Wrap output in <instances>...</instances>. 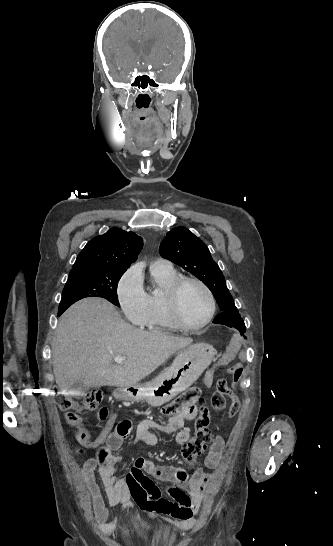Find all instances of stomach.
Returning <instances> with one entry per match:
<instances>
[{
  "mask_svg": "<svg viewBox=\"0 0 333 546\" xmlns=\"http://www.w3.org/2000/svg\"><path fill=\"white\" fill-rule=\"evenodd\" d=\"M217 354L207 343H196L181 350L164 372L151 382L122 386L113 392L116 400L139 402L146 400L161 406L188 389L211 364Z\"/></svg>",
  "mask_w": 333,
  "mask_h": 546,
  "instance_id": "1",
  "label": "stomach"
}]
</instances>
